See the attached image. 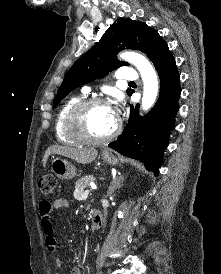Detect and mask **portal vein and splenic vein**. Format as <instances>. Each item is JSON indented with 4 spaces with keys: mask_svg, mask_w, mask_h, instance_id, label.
I'll list each match as a JSON object with an SVG mask.
<instances>
[{
    "mask_svg": "<svg viewBox=\"0 0 221 274\" xmlns=\"http://www.w3.org/2000/svg\"><path fill=\"white\" fill-rule=\"evenodd\" d=\"M92 188H94V189H96V187L94 186V187H92ZM89 190H85V191H83L82 193H81V199H86L87 198V196H88V194H89Z\"/></svg>",
    "mask_w": 221,
    "mask_h": 274,
    "instance_id": "18ae733b",
    "label": "portal vein and splenic vein"
}]
</instances>
